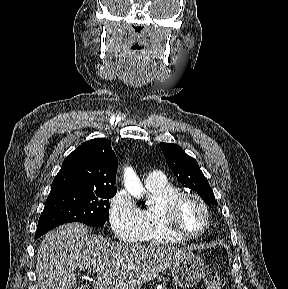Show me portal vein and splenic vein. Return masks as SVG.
<instances>
[{
    "label": "portal vein and splenic vein",
    "mask_w": 288,
    "mask_h": 289,
    "mask_svg": "<svg viewBox=\"0 0 288 289\" xmlns=\"http://www.w3.org/2000/svg\"><path fill=\"white\" fill-rule=\"evenodd\" d=\"M80 269H83V268H80ZM93 286H94V289H104L99 281H95L94 280L93 281Z\"/></svg>",
    "instance_id": "portal-vein-and-splenic-vein-1"
}]
</instances>
